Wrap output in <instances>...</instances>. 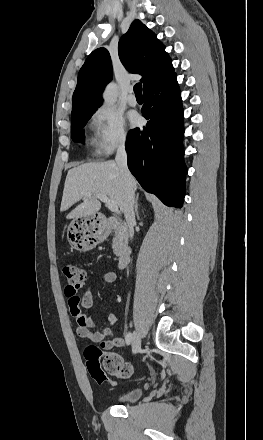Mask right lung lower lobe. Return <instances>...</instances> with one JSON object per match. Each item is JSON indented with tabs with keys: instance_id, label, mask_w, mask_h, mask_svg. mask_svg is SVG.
Returning <instances> with one entry per match:
<instances>
[{
	"instance_id": "1",
	"label": "right lung lower lobe",
	"mask_w": 263,
	"mask_h": 440,
	"mask_svg": "<svg viewBox=\"0 0 263 440\" xmlns=\"http://www.w3.org/2000/svg\"><path fill=\"white\" fill-rule=\"evenodd\" d=\"M148 122L127 136L128 167L140 185L165 205L181 208L185 195L183 108L176 73L144 91Z\"/></svg>"
}]
</instances>
